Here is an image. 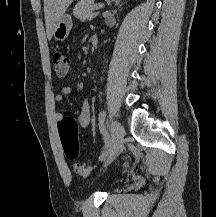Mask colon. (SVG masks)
Listing matches in <instances>:
<instances>
[{
  "label": "colon",
  "mask_w": 216,
  "mask_h": 217,
  "mask_svg": "<svg viewBox=\"0 0 216 217\" xmlns=\"http://www.w3.org/2000/svg\"><path fill=\"white\" fill-rule=\"evenodd\" d=\"M53 69L55 74L64 78L70 70L71 61L68 56L63 53L56 52L53 55ZM77 122L69 117H65L59 124V134L64 150L65 157L69 160H75L79 155V144L77 140ZM75 172L82 177L89 176L93 168L86 164H76Z\"/></svg>",
  "instance_id": "5ec220e1"
}]
</instances>
